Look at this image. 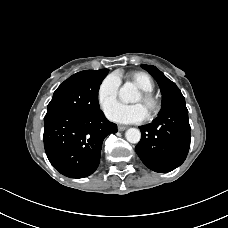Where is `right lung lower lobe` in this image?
Wrapping results in <instances>:
<instances>
[{"label":"right lung lower lobe","mask_w":228,"mask_h":228,"mask_svg":"<svg viewBox=\"0 0 228 228\" xmlns=\"http://www.w3.org/2000/svg\"><path fill=\"white\" fill-rule=\"evenodd\" d=\"M117 132L101 110L96 113L55 111L44 118V147L52 166L71 178L91 175L100 162L104 138Z\"/></svg>","instance_id":"right-lung-lower-lobe-1"}]
</instances>
